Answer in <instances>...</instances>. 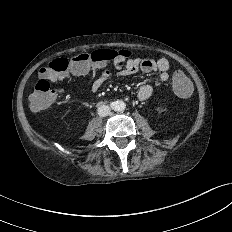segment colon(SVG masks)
<instances>
[{
	"instance_id": "1",
	"label": "colon",
	"mask_w": 232,
	"mask_h": 232,
	"mask_svg": "<svg viewBox=\"0 0 232 232\" xmlns=\"http://www.w3.org/2000/svg\"><path fill=\"white\" fill-rule=\"evenodd\" d=\"M117 55L128 58L132 52L126 49L115 50L101 48L92 52L78 53L71 58H57L40 70V79L30 96V106L34 111H43L49 108L57 97L56 90L50 82L58 81L68 72L82 73L91 65L103 64ZM173 89L180 97H188L192 92V85L186 75L177 70L173 75Z\"/></svg>"
}]
</instances>
